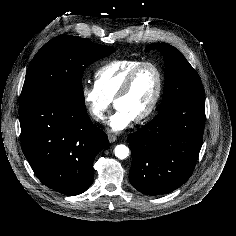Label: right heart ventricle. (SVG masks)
I'll use <instances>...</instances> for the list:
<instances>
[{
    "mask_svg": "<svg viewBox=\"0 0 236 236\" xmlns=\"http://www.w3.org/2000/svg\"><path fill=\"white\" fill-rule=\"evenodd\" d=\"M142 62L135 58L111 61L96 70L95 83L108 99L113 100L131 70Z\"/></svg>",
    "mask_w": 236,
    "mask_h": 236,
    "instance_id": "1",
    "label": "right heart ventricle"
}]
</instances>
